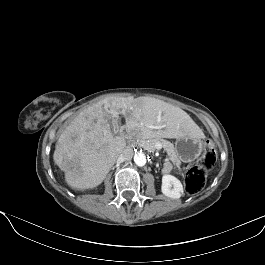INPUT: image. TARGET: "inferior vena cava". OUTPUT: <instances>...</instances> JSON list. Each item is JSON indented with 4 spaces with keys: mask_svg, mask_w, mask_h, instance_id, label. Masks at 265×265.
<instances>
[{
    "mask_svg": "<svg viewBox=\"0 0 265 265\" xmlns=\"http://www.w3.org/2000/svg\"><path fill=\"white\" fill-rule=\"evenodd\" d=\"M133 156V150L129 147L125 148L119 156V160L126 161L130 160Z\"/></svg>",
    "mask_w": 265,
    "mask_h": 265,
    "instance_id": "1",
    "label": "inferior vena cava"
}]
</instances>
